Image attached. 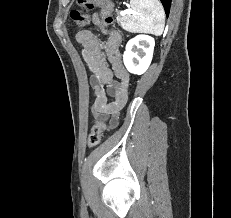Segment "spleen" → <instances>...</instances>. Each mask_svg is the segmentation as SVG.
<instances>
[{"instance_id":"1","label":"spleen","mask_w":231,"mask_h":218,"mask_svg":"<svg viewBox=\"0 0 231 218\" xmlns=\"http://www.w3.org/2000/svg\"><path fill=\"white\" fill-rule=\"evenodd\" d=\"M131 11L122 20L125 30L161 35L165 26V12L159 0H130Z\"/></svg>"}]
</instances>
